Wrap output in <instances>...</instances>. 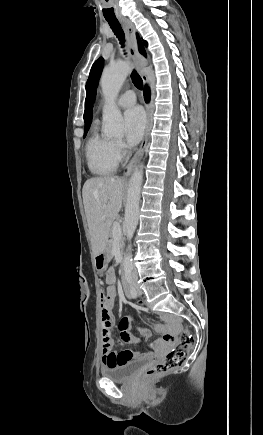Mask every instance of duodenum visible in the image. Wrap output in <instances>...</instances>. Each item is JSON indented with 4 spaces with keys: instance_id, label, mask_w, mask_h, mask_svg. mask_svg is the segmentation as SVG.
<instances>
[{
    "instance_id": "obj_1",
    "label": "duodenum",
    "mask_w": 263,
    "mask_h": 435,
    "mask_svg": "<svg viewBox=\"0 0 263 435\" xmlns=\"http://www.w3.org/2000/svg\"><path fill=\"white\" fill-rule=\"evenodd\" d=\"M123 286H124L125 293L127 295H129V293H130V284H129V282H128L126 277H124V279H123Z\"/></svg>"
}]
</instances>
